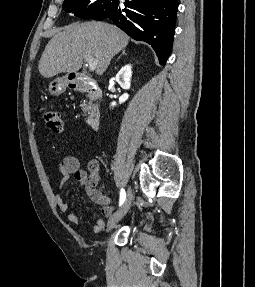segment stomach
I'll return each instance as SVG.
<instances>
[{
    "instance_id": "obj_1",
    "label": "stomach",
    "mask_w": 255,
    "mask_h": 287,
    "mask_svg": "<svg viewBox=\"0 0 255 287\" xmlns=\"http://www.w3.org/2000/svg\"><path fill=\"white\" fill-rule=\"evenodd\" d=\"M67 86V76H64V78H56V80H53V82L49 84L48 92L51 96H60V94L65 92Z\"/></svg>"
}]
</instances>
